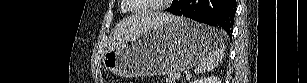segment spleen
Masks as SVG:
<instances>
[{
    "label": "spleen",
    "instance_id": "3e777b00",
    "mask_svg": "<svg viewBox=\"0 0 307 83\" xmlns=\"http://www.w3.org/2000/svg\"><path fill=\"white\" fill-rule=\"evenodd\" d=\"M214 34L213 47L208 51V54L205 58L198 64L196 67V72L199 74L213 71L219 63L222 61V58L225 54L226 46L224 40L226 34L221 31L212 28Z\"/></svg>",
    "mask_w": 307,
    "mask_h": 83
}]
</instances>
